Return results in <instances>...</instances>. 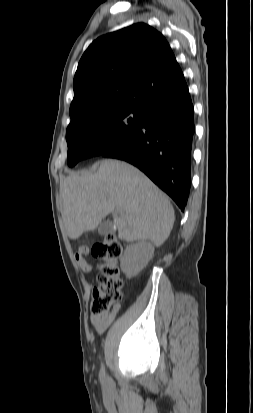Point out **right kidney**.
I'll return each mask as SVG.
<instances>
[{"label":"right kidney","mask_w":253,"mask_h":413,"mask_svg":"<svg viewBox=\"0 0 253 413\" xmlns=\"http://www.w3.org/2000/svg\"><path fill=\"white\" fill-rule=\"evenodd\" d=\"M154 254V246L141 240L135 244L128 245L120 256V266L122 271L128 276H136L143 270Z\"/></svg>","instance_id":"right-kidney-1"}]
</instances>
